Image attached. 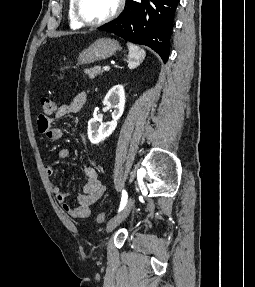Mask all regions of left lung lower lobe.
<instances>
[{"instance_id": "1", "label": "left lung lower lobe", "mask_w": 255, "mask_h": 287, "mask_svg": "<svg viewBox=\"0 0 255 287\" xmlns=\"http://www.w3.org/2000/svg\"><path fill=\"white\" fill-rule=\"evenodd\" d=\"M179 0H127L123 13L99 30L146 45L168 60L173 18Z\"/></svg>"}]
</instances>
